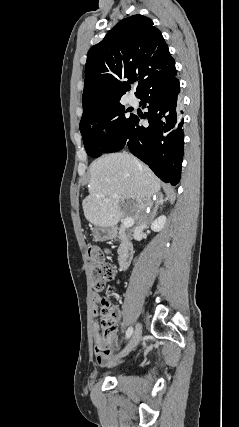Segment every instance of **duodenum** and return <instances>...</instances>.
I'll use <instances>...</instances> for the list:
<instances>
[{
    "mask_svg": "<svg viewBox=\"0 0 239 427\" xmlns=\"http://www.w3.org/2000/svg\"><path fill=\"white\" fill-rule=\"evenodd\" d=\"M121 237H122V244L119 249L118 263H119V269L121 271H124L131 264V261L135 253V248H134V244L125 233H122Z\"/></svg>",
    "mask_w": 239,
    "mask_h": 427,
    "instance_id": "1",
    "label": "duodenum"
}]
</instances>
